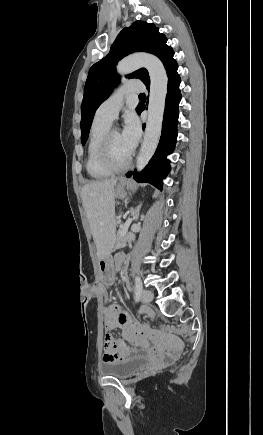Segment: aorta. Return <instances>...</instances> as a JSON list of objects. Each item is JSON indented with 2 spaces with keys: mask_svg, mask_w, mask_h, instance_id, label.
Listing matches in <instances>:
<instances>
[{
  "mask_svg": "<svg viewBox=\"0 0 263 435\" xmlns=\"http://www.w3.org/2000/svg\"><path fill=\"white\" fill-rule=\"evenodd\" d=\"M141 67L146 68L150 76V95L144 139L136 162L138 171L148 164L157 148L162 130L168 84V77L162 62L150 54H135L124 58L117 65V72L124 75Z\"/></svg>",
  "mask_w": 263,
  "mask_h": 435,
  "instance_id": "762f6f07",
  "label": "aorta"
}]
</instances>
